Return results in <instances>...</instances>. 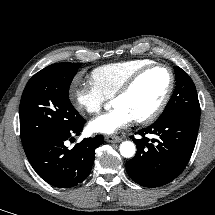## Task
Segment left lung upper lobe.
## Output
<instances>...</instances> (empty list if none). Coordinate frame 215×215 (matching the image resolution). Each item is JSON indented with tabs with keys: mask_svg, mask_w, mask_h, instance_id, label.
I'll return each instance as SVG.
<instances>
[{
	"mask_svg": "<svg viewBox=\"0 0 215 215\" xmlns=\"http://www.w3.org/2000/svg\"><path fill=\"white\" fill-rule=\"evenodd\" d=\"M174 69L176 87L165 110L157 120L172 116H184L200 120V104L192 79L181 68L174 67Z\"/></svg>",
	"mask_w": 215,
	"mask_h": 215,
	"instance_id": "1",
	"label": "left lung upper lobe"
}]
</instances>
